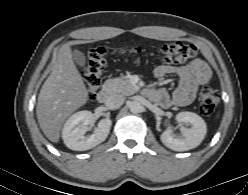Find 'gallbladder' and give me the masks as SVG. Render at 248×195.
<instances>
[{
    "label": "gallbladder",
    "mask_w": 248,
    "mask_h": 195,
    "mask_svg": "<svg viewBox=\"0 0 248 195\" xmlns=\"http://www.w3.org/2000/svg\"><path fill=\"white\" fill-rule=\"evenodd\" d=\"M73 58H74L76 64L81 66V67H83L86 63L85 55L79 50L73 51Z\"/></svg>",
    "instance_id": "gallbladder-1"
}]
</instances>
